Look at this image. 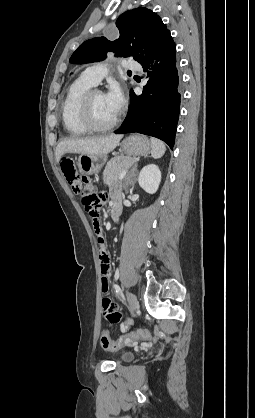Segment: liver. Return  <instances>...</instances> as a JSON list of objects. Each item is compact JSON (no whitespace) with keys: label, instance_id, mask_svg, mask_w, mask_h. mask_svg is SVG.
<instances>
[{"label":"liver","instance_id":"6515ba94","mask_svg":"<svg viewBox=\"0 0 255 418\" xmlns=\"http://www.w3.org/2000/svg\"><path fill=\"white\" fill-rule=\"evenodd\" d=\"M121 134H111L100 138H70L60 141L56 147L55 156L57 162L66 153H79L90 155H106L113 151L122 139Z\"/></svg>","mask_w":255,"mask_h":418}]
</instances>
